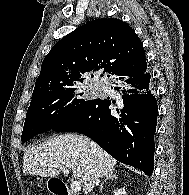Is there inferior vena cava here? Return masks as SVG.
I'll list each match as a JSON object with an SVG mask.
<instances>
[{
    "instance_id": "obj_1",
    "label": "inferior vena cava",
    "mask_w": 189,
    "mask_h": 195,
    "mask_svg": "<svg viewBox=\"0 0 189 195\" xmlns=\"http://www.w3.org/2000/svg\"><path fill=\"white\" fill-rule=\"evenodd\" d=\"M99 183V180L98 179H96L95 180V184L97 185ZM95 195V194H94Z\"/></svg>"
}]
</instances>
